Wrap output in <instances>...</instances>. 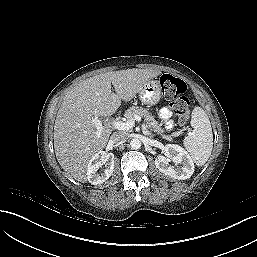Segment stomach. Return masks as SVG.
<instances>
[{
	"instance_id": "stomach-1",
	"label": "stomach",
	"mask_w": 257,
	"mask_h": 257,
	"mask_svg": "<svg viewBox=\"0 0 257 257\" xmlns=\"http://www.w3.org/2000/svg\"><path fill=\"white\" fill-rule=\"evenodd\" d=\"M139 99L147 106L157 104L161 99V87L157 80L150 79L138 92Z\"/></svg>"
}]
</instances>
